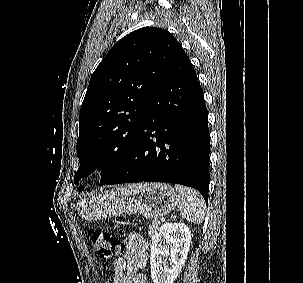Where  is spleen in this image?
Wrapping results in <instances>:
<instances>
[{"mask_svg":"<svg viewBox=\"0 0 303 283\" xmlns=\"http://www.w3.org/2000/svg\"><path fill=\"white\" fill-rule=\"evenodd\" d=\"M177 191L176 204L181 211L182 218L201 224L205 215V203L196 190L181 185H175Z\"/></svg>","mask_w":303,"mask_h":283,"instance_id":"1","label":"spleen"}]
</instances>
